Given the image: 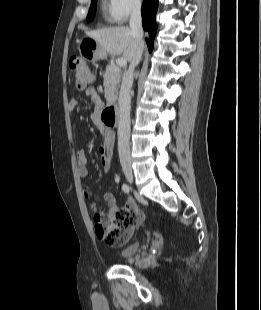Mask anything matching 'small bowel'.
<instances>
[{
    "label": "small bowel",
    "mask_w": 261,
    "mask_h": 310,
    "mask_svg": "<svg viewBox=\"0 0 261 310\" xmlns=\"http://www.w3.org/2000/svg\"><path fill=\"white\" fill-rule=\"evenodd\" d=\"M86 96L89 97L95 109L99 111L103 106V101L99 93L93 88H87L85 90ZM77 101L72 98L68 102L69 108L72 110L76 107ZM95 121L99 123L98 115L95 117ZM103 142L100 146L101 152V166L105 172H109L113 159V135L110 131L102 128ZM78 174L82 178H86L89 174L88 171V156L84 150H79L77 154ZM85 197L88 198L89 194L85 193ZM103 200L107 206V214H115L119 211L116 205V198L112 193L106 192L103 195ZM143 222V221H142Z\"/></svg>",
    "instance_id": "c3829d8e"
}]
</instances>
